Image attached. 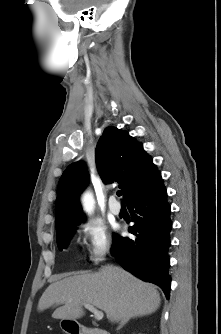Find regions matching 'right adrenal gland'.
Wrapping results in <instances>:
<instances>
[{
    "label": "right adrenal gland",
    "mask_w": 221,
    "mask_h": 334,
    "mask_svg": "<svg viewBox=\"0 0 221 334\" xmlns=\"http://www.w3.org/2000/svg\"><path fill=\"white\" fill-rule=\"evenodd\" d=\"M128 319L127 320H124L120 323V326L118 327V329H120L123 325H125L127 323Z\"/></svg>",
    "instance_id": "1"
}]
</instances>
